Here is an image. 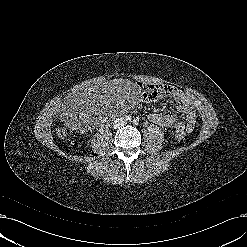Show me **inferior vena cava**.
<instances>
[{
  "instance_id": "602c4592",
  "label": "inferior vena cava",
  "mask_w": 247,
  "mask_h": 247,
  "mask_svg": "<svg viewBox=\"0 0 247 247\" xmlns=\"http://www.w3.org/2000/svg\"><path fill=\"white\" fill-rule=\"evenodd\" d=\"M126 120L123 118L117 119L114 123V126L119 127L125 125Z\"/></svg>"
}]
</instances>
